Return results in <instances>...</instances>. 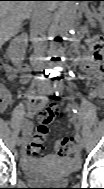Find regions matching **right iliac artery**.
<instances>
[{
    "label": "right iliac artery",
    "instance_id": "1",
    "mask_svg": "<svg viewBox=\"0 0 104 189\" xmlns=\"http://www.w3.org/2000/svg\"><path fill=\"white\" fill-rule=\"evenodd\" d=\"M46 100L47 98L45 99H42L41 102H39L37 105H35L29 112V114L31 116L35 115L37 112H39L40 110H42L46 104ZM16 133H19V130H16ZM16 137H20V139H25V136L24 134H16Z\"/></svg>",
    "mask_w": 104,
    "mask_h": 189
}]
</instances>
